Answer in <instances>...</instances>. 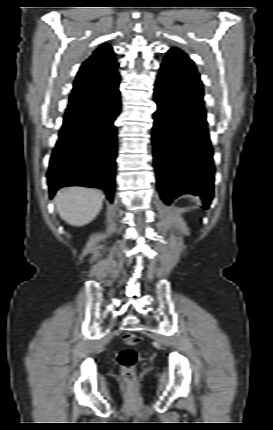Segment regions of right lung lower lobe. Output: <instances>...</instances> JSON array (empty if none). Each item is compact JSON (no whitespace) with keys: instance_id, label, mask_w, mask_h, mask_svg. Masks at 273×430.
Here are the masks:
<instances>
[{"instance_id":"98d812e1","label":"right lung lower lobe","mask_w":273,"mask_h":430,"mask_svg":"<svg viewBox=\"0 0 273 430\" xmlns=\"http://www.w3.org/2000/svg\"><path fill=\"white\" fill-rule=\"evenodd\" d=\"M119 82V76L103 81L86 103L66 111L47 174L51 195L64 186L95 187L113 202Z\"/></svg>"}]
</instances>
